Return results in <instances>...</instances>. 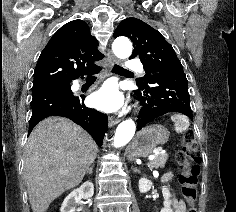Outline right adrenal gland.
<instances>
[{
	"instance_id": "2a0ac1e0",
	"label": "right adrenal gland",
	"mask_w": 236,
	"mask_h": 212,
	"mask_svg": "<svg viewBox=\"0 0 236 212\" xmlns=\"http://www.w3.org/2000/svg\"><path fill=\"white\" fill-rule=\"evenodd\" d=\"M93 168H94V163H92L91 166L89 167V169H87L86 174L91 175L92 171H93Z\"/></svg>"
}]
</instances>
